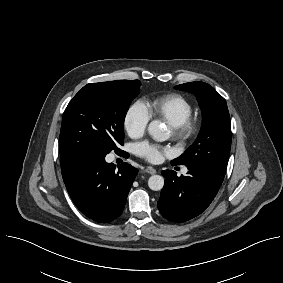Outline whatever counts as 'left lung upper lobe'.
Wrapping results in <instances>:
<instances>
[{"label":"left lung upper lobe","mask_w":283,"mask_h":283,"mask_svg":"<svg viewBox=\"0 0 283 283\" xmlns=\"http://www.w3.org/2000/svg\"><path fill=\"white\" fill-rule=\"evenodd\" d=\"M175 88L196 95L203 124L194 144L171 164L193 167L223 181L231 148L230 115L225 99L204 82H189Z\"/></svg>","instance_id":"left-lung-upper-lobe-1"}]
</instances>
